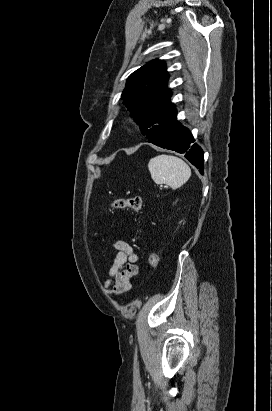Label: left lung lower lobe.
Wrapping results in <instances>:
<instances>
[{
  "label": "left lung lower lobe",
  "instance_id": "obj_1",
  "mask_svg": "<svg viewBox=\"0 0 272 411\" xmlns=\"http://www.w3.org/2000/svg\"><path fill=\"white\" fill-rule=\"evenodd\" d=\"M148 142L156 146L184 153L185 158L203 173V150L196 143L188 128L176 120V115L148 137Z\"/></svg>",
  "mask_w": 272,
  "mask_h": 411
}]
</instances>
